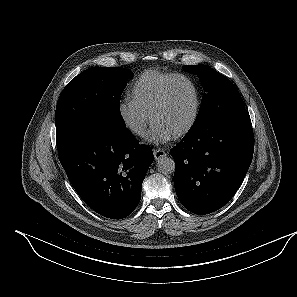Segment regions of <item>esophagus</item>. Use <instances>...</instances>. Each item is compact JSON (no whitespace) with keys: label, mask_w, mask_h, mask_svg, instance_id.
<instances>
[{"label":"esophagus","mask_w":297,"mask_h":297,"mask_svg":"<svg viewBox=\"0 0 297 297\" xmlns=\"http://www.w3.org/2000/svg\"><path fill=\"white\" fill-rule=\"evenodd\" d=\"M153 153H154V158L156 160H159L160 158L166 156L167 154L164 149H155Z\"/></svg>","instance_id":"1"}]
</instances>
